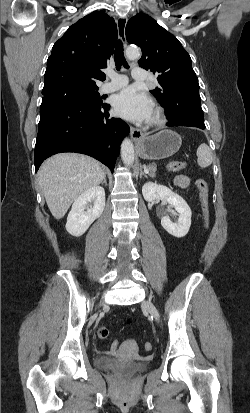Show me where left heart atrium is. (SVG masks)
Segmentation results:
<instances>
[{
	"mask_svg": "<svg viewBox=\"0 0 250 413\" xmlns=\"http://www.w3.org/2000/svg\"><path fill=\"white\" fill-rule=\"evenodd\" d=\"M115 112L134 122H147L152 116L150 98L134 87H127L113 99Z\"/></svg>",
	"mask_w": 250,
	"mask_h": 413,
	"instance_id": "1",
	"label": "left heart atrium"
}]
</instances>
